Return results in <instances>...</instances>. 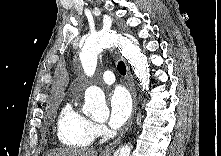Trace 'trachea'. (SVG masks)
Returning <instances> with one entry per match:
<instances>
[{
    "mask_svg": "<svg viewBox=\"0 0 221 156\" xmlns=\"http://www.w3.org/2000/svg\"><path fill=\"white\" fill-rule=\"evenodd\" d=\"M117 69L121 75L126 74V66L123 61L118 62Z\"/></svg>",
    "mask_w": 221,
    "mask_h": 156,
    "instance_id": "1",
    "label": "trachea"
}]
</instances>
